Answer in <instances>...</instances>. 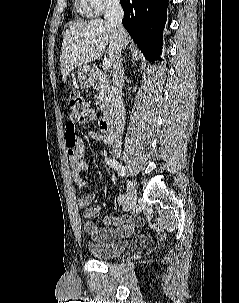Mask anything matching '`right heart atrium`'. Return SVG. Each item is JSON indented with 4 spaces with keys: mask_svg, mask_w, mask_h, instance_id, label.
<instances>
[{
    "mask_svg": "<svg viewBox=\"0 0 239 303\" xmlns=\"http://www.w3.org/2000/svg\"><path fill=\"white\" fill-rule=\"evenodd\" d=\"M79 9L87 16H98L119 6L120 0H77Z\"/></svg>",
    "mask_w": 239,
    "mask_h": 303,
    "instance_id": "right-heart-atrium-1",
    "label": "right heart atrium"
}]
</instances>
